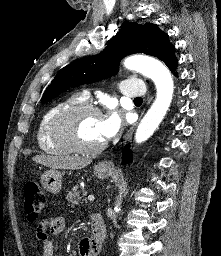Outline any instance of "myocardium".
<instances>
[{"instance_id":"myocardium-1","label":"myocardium","mask_w":221,"mask_h":256,"mask_svg":"<svg viewBox=\"0 0 221 256\" xmlns=\"http://www.w3.org/2000/svg\"><path fill=\"white\" fill-rule=\"evenodd\" d=\"M87 114L102 115L97 107L88 103H80L64 110L55 120L53 135L55 139L64 144L70 152L94 155L101 152L106 146L105 141L92 147L84 146L78 141L76 136L77 123L82 116Z\"/></svg>"}]
</instances>
